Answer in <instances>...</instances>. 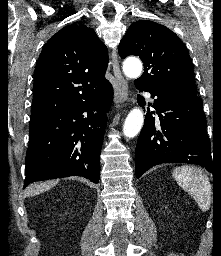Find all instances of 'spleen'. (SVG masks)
Segmentation results:
<instances>
[{"mask_svg":"<svg viewBox=\"0 0 221 256\" xmlns=\"http://www.w3.org/2000/svg\"><path fill=\"white\" fill-rule=\"evenodd\" d=\"M177 183L191 195L202 211H207L211 204L212 187L202 170L192 166L177 167L173 171Z\"/></svg>","mask_w":221,"mask_h":256,"instance_id":"obj_1","label":"spleen"}]
</instances>
